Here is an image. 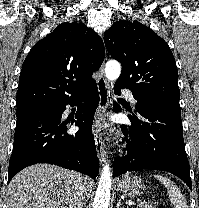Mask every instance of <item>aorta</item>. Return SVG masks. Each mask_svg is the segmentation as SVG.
<instances>
[{"instance_id": "aorta-1", "label": "aorta", "mask_w": 199, "mask_h": 208, "mask_svg": "<svg viewBox=\"0 0 199 208\" xmlns=\"http://www.w3.org/2000/svg\"><path fill=\"white\" fill-rule=\"evenodd\" d=\"M121 73V65L116 60H110L105 66V75L109 81H115L119 78ZM111 168L109 164L103 166L97 190L95 193L93 208H108L110 202V192L112 186Z\"/></svg>"}]
</instances>
